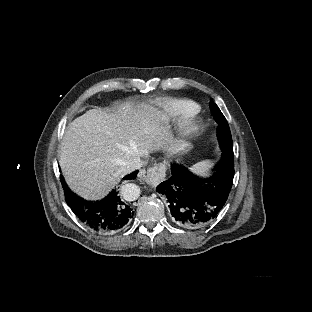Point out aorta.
<instances>
[{
    "mask_svg": "<svg viewBox=\"0 0 312 312\" xmlns=\"http://www.w3.org/2000/svg\"><path fill=\"white\" fill-rule=\"evenodd\" d=\"M124 192L128 193V199L129 200H135L137 199L140 189L135 184H126L124 187Z\"/></svg>",
    "mask_w": 312,
    "mask_h": 312,
    "instance_id": "obj_1",
    "label": "aorta"
}]
</instances>
